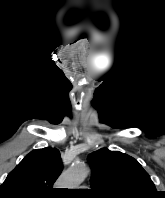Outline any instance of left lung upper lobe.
Returning <instances> with one entry per match:
<instances>
[{"mask_svg": "<svg viewBox=\"0 0 165 198\" xmlns=\"http://www.w3.org/2000/svg\"><path fill=\"white\" fill-rule=\"evenodd\" d=\"M91 192L97 198H156L158 191L148 173L133 157L107 148L88 156Z\"/></svg>", "mask_w": 165, "mask_h": 198, "instance_id": "left-lung-upper-lobe-1", "label": "left lung upper lobe"}]
</instances>
